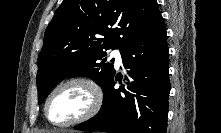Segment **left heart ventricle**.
<instances>
[{"mask_svg":"<svg viewBox=\"0 0 221 133\" xmlns=\"http://www.w3.org/2000/svg\"><path fill=\"white\" fill-rule=\"evenodd\" d=\"M90 103L87 90L71 85L58 91L48 106V115L53 122H66L83 113Z\"/></svg>","mask_w":221,"mask_h":133,"instance_id":"obj_1","label":"left heart ventricle"}]
</instances>
